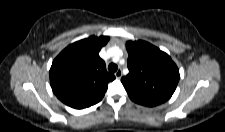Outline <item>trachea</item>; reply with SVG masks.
<instances>
[{
	"mask_svg": "<svg viewBox=\"0 0 225 132\" xmlns=\"http://www.w3.org/2000/svg\"><path fill=\"white\" fill-rule=\"evenodd\" d=\"M117 69H118V66H117L116 64H114V63H111V64H109V66H108V70H109L110 72H112V73L116 72Z\"/></svg>",
	"mask_w": 225,
	"mask_h": 132,
	"instance_id": "obj_1",
	"label": "trachea"
}]
</instances>
